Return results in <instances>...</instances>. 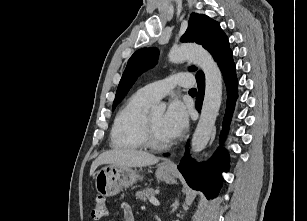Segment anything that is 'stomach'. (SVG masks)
Returning a JSON list of instances; mask_svg holds the SVG:
<instances>
[{"instance_id":"1","label":"stomach","mask_w":307,"mask_h":221,"mask_svg":"<svg viewBox=\"0 0 307 221\" xmlns=\"http://www.w3.org/2000/svg\"><path fill=\"white\" fill-rule=\"evenodd\" d=\"M156 176L167 183H174V170L165 162L158 165ZM97 192L104 196H113L121 192L124 188L132 186L139 176L136 169L121 167L113 164L101 168L94 175Z\"/></svg>"}]
</instances>
